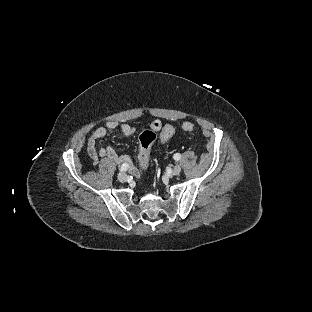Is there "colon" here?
Masks as SVG:
<instances>
[{
    "label": "colon",
    "instance_id": "1",
    "mask_svg": "<svg viewBox=\"0 0 312 312\" xmlns=\"http://www.w3.org/2000/svg\"><path fill=\"white\" fill-rule=\"evenodd\" d=\"M160 126L159 123H151L150 129L146 130L144 133L141 134L139 138V146H140V151L138 154V160L141 169H146L149 165V160H150V147L154 140L157 137V131L159 130ZM194 129V126L192 123L187 122L182 125V130L184 132L190 133ZM174 130V127L170 123H166L163 125L160 134L164 138H168L171 136L172 132Z\"/></svg>",
    "mask_w": 312,
    "mask_h": 312
}]
</instances>
